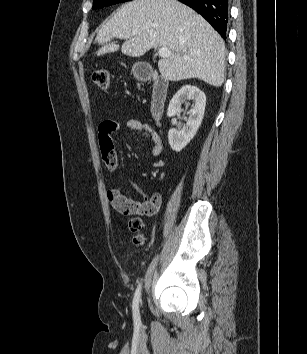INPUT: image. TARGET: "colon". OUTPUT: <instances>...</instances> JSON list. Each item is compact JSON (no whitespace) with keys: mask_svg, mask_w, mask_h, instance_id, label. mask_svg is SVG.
<instances>
[{"mask_svg":"<svg viewBox=\"0 0 307 354\" xmlns=\"http://www.w3.org/2000/svg\"><path fill=\"white\" fill-rule=\"evenodd\" d=\"M92 80L100 88L106 89L109 86V71L106 68H97L92 71ZM147 211H150L149 208H146ZM124 213L130 214L127 209L119 210ZM138 215H144L138 213ZM144 227V221L140 216L133 217L128 222V230L134 234L133 241L136 245H142L145 241L144 235L141 233V230Z\"/></svg>","mask_w":307,"mask_h":354,"instance_id":"5ec220e1","label":"colon"}]
</instances>
